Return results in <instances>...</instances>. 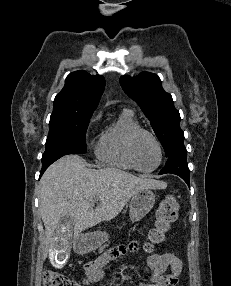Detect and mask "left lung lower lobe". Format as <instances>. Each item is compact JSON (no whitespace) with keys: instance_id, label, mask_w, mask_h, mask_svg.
Wrapping results in <instances>:
<instances>
[{"instance_id":"0a47b994","label":"left lung lower lobe","mask_w":231,"mask_h":286,"mask_svg":"<svg viewBox=\"0 0 231 286\" xmlns=\"http://www.w3.org/2000/svg\"><path fill=\"white\" fill-rule=\"evenodd\" d=\"M187 151L184 146L175 149L169 156L165 167L159 174L172 173L180 176L189 186V169L187 165Z\"/></svg>"}]
</instances>
